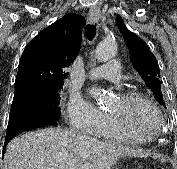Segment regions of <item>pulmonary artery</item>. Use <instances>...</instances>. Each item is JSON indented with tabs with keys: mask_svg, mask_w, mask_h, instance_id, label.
<instances>
[{
	"mask_svg": "<svg viewBox=\"0 0 177 169\" xmlns=\"http://www.w3.org/2000/svg\"><path fill=\"white\" fill-rule=\"evenodd\" d=\"M121 64L113 59L105 66H100L88 72L87 76L95 80H107L113 83L120 82Z\"/></svg>",
	"mask_w": 177,
	"mask_h": 169,
	"instance_id": "pulmonary-artery-1",
	"label": "pulmonary artery"
}]
</instances>
